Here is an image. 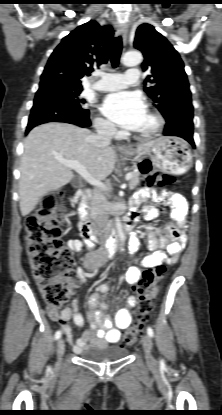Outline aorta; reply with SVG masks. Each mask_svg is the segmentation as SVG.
I'll return each instance as SVG.
<instances>
[{"instance_id":"762f6f07","label":"aorta","mask_w":222,"mask_h":415,"mask_svg":"<svg viewBox=\"0 0 222 415\" xmlns=\"http://www.w3.org/2000/svg\"><path fill=\"white\" fill-rule=\"evenodd\" d=\"M142 54L139 51H130L125 53V55L122 58V62L127 67H133L142 62ZM116 227L118 230V234L121 240V243L123 244L125 241L124 233L122 230V225L120 223V220L116 218Z\"/></svg>"}]
</instances>
